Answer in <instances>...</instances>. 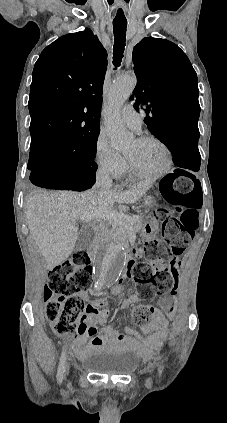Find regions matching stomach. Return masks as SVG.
I'll use <instances>...</instances> for the list:
<instances>
[{
    "mask_svg": "<svg viewBox=\"0 0 227 423\" xmlns=\"http://www.w3.org/2000/svg\"><path fill=\"white\" fill-rule=\"evenodd\" d=\"M153 206V198H151V196H144L143 200H141L140 208H147V210H152Z\"/></svg>",
    "mask_w": 227,
    "mask_h": 423,
    "instance_id": "1",
    "label": "stomach"
}]
</instances>
